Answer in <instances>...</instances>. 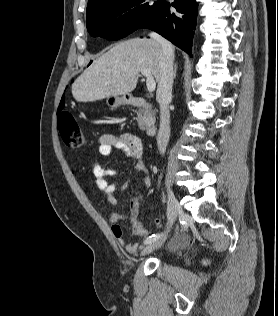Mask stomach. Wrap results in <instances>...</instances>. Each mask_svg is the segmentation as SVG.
<instances>
[{"label": "stomach", "mask_w": 278, "mask_h": 316, "mask_svg": "<svg viewBox=\"0 0 278 316\" xmlns=\"http://www.w3.org/2000/svg\"><path fill=\"white\" fill-rule=\"evenodd\" d=\"M125 103H126V100L124 98H119L117 96H110L107 98V104L111 108H116Z\"/></svg>", "instance_id": "stomach-1"}]
</instances>
